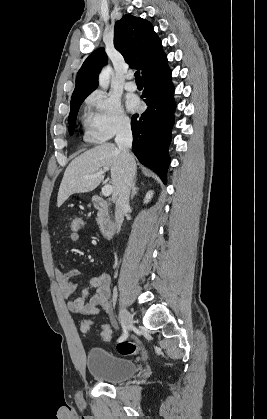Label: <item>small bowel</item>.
I'll return each mask as SVG.
<instances>
[{
    "label": "small bowel",
    "instance_id": "1",
    "mask_svg": "<svg viewBox=\"0 0 267 419\" xmlns=\"http://www.w3.org/2000/svg\"><path fill=\"white\" fill-rule=\"evenodd\" d=\"M70 239L74 242L80 239L79 233H70ZM81 275L78 269L62 272L59 268L54 269V276L59 285L62 297L67 301L68 310L76 315H97L109 311V299L111 295V277L108 273L91 276L85 284L75 279ZM94 294L89 298L90 291Z\"/></svg>",
    "mask_w": 267,
    "mask_h": 419
}]
</instances>
